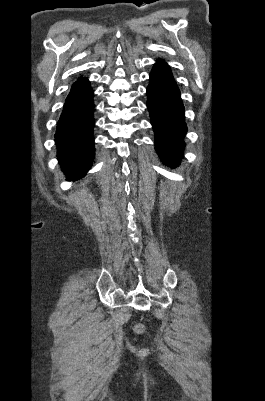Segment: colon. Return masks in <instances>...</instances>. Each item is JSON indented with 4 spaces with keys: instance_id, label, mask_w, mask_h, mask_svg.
<instances>
[{
    "instance_id": "colon-1",
    "label": "colon",
    "mask_w": 265,
    "mask_h": 401,
    "mask_svg": "<svg viewBox=\"0 0 265 401\" xmlns=\"http://www.w3.org/2000/svg\"><path fill=\"white\" fill-rule=\"evenodd\" d=\"M134 331L137 332V333H142L144 331L143 325L139 324V323L135 324L134 325Z\"/></svg>"
}]
</instances>
